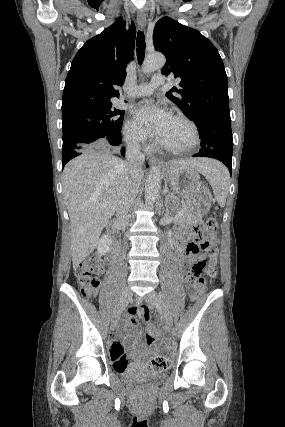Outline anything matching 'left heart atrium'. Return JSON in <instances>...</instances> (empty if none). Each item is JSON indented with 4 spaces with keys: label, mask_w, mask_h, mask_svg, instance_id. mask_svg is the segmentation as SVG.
Listing matches in <instances>:
<instances>
[{
    "label": "left heart atrium",
    "mask_w": 285,
    "mask_h": 427,
    "mask_svg": "<svg viewBox=\"0 0 285 427\" xmlns=\"http://www.w3.org/2000/svg\"><path fill=\"white\" fill-rule=\"evenodd\" d=\"M135 115L140 123L149 128L151 134L163 138L171 118L167 111L152 101H143L136 108Z\"/></svg>",
    "instance_id": "left-heart-atrium-1"
}]
</instances>
